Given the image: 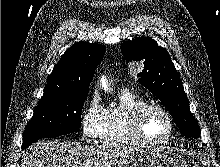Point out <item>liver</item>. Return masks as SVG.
<instances>
[{
	"label": "liver",
	"mask_w": 220,
	"mask_h": 167,
	"mask_svg": "<svg viewBox=\"0 0 220 167\" xmlns=\"http://www.w3.org/2000/svg\"><path fill=\"white\" fill-rule=\"evenodd\" d=\"M129 150L127 147L42 140L23 154L21 167H113Z\"/></svg>",
	"instance_id": "1"
}]
</instances>
